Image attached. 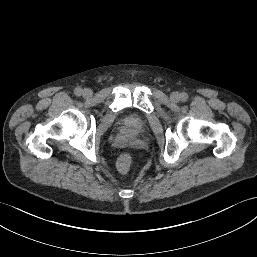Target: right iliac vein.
Instances as JSON below:
<instances>
[{
  "instance_id": "1",
  "label": "right iliac vein",
  "mask_w": 257,
  "mask_h": 257,
  "mask_svg": "<svg viewBox=\"0 0 257 257\" xmlns=\"http://www.w3.org/2000/svg\"><path fill=\"white\" fill-rule=\"evenodd\" d=\"M83 96L88 98V97H91L92 96V90L89 89V88H85L82 92Z\"/></svg>"
}]
</instances>
